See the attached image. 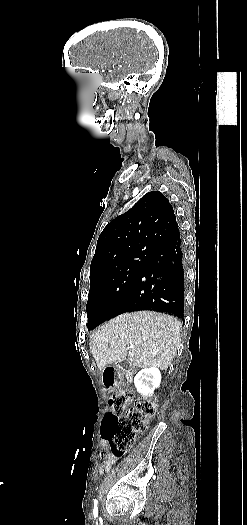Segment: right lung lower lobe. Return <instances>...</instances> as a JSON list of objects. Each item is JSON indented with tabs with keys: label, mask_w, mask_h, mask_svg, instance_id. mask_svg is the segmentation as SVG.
<instances>
[{
	"label": "right lung lower lobe",
	"mask_w": 247,
	"mask_h": 525,
	"mask_svg": "<svg viewBox=\"0 0 247 525\" xmlns=\"http://www.w3.org/2000/svg\"><path fill=\"white\" fill-rule=\"evenodd\" d=\"M179 230L145 256L144 267L115 316L137 310L168 312L183 318L184 271Z\"/></svg>",
	"instance_id": "98d812e1"
}]
</instances>
